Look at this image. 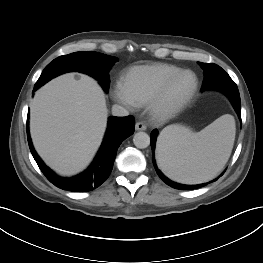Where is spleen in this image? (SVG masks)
Instances as JSON below:
<instances>
[{
    "label": "spleen",
    "instance_id": "3e777b00",
    "mask_svg": "<svg viewBox=\"0 0 263 263\" xmlns=\"http://www.w3.org/2000/svg\"><path fill=\"white\" fill-rule=\"evenodd\" d=\"M235 139V121L222 115L200 132L170 125L157 142L161 170L174 181L198 184L215 177L229 159Z\"/></svg>",
    "mask_w": 263,
    "mask_h": 263
}]
</instances>
